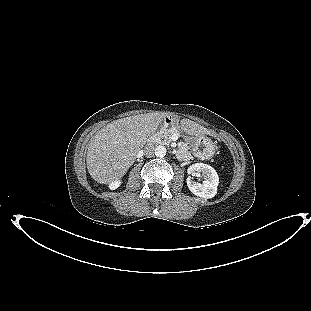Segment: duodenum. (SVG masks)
Segmentation results:
<instances>
[{"label": "duodenum", "instance_id": "duodenum-1", "mask_svg": "<svg viewBox=\"0 0 311 311\" xmlns=\"http://www.w3.org/2000/svg\"><path fill=\"white\" fill-rule=\"evenodd\" d=\"M164 123H165L166 126H170V125H172L173 120H172L171 118L168 117V118L165 119V122H164Z\"/></svg>", "mask_w": 311, "mask_h": 311}]
</instances>
